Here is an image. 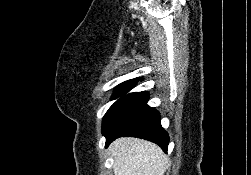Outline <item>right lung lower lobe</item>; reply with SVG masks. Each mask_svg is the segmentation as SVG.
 I'll return each mask as SVG.
<instances>
[{
	"label": "right lung lower lobe",
	"mask_w": 251,
	"mask_h": 175,
	"mask_svg": "<svg viewBox=\"0 0 251 175\" xmlns=\"http://www.w3.org/2000/svg\"><path fill=\"white\" fill-rule=\"evenodd\" d=\"M148 99L147 92L130 93L110 107L102 125L106 147L118 137L133 136L152 141L167 152L169 136L161 126L159 112L147 105Z\"/></svg>",
	"instance_id": "right-lung-lower-lobe-1"
}]
</instances>
